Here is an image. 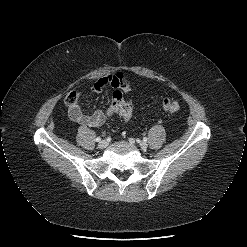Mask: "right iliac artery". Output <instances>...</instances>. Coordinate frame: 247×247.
I'll list each match as a JSON object with an SVG mask.
<instances>
[{"label":"right iliac artery","mask_w":247,"mask_h":247,"mask_svg":"<svg viewBox=\"0 0 247 247\" xmlns=\"http://www.w3.org/2000/svg\"><path fill=\"white\" fill-rule=\"evenodd\" d=\"M95 140H96V142H100L101 141V137H97Z\"/></svg>","instance_id":"1"}]
</instances>
